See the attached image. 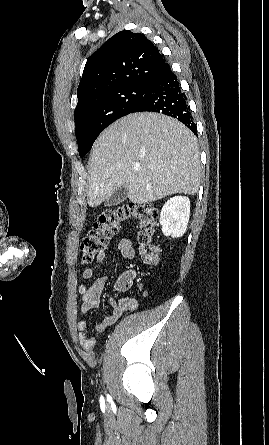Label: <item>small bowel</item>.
<instances>
[{
    "mask_svg": "<svg viewBox=\"0 0 269 445\" xmlns=\"http://www.w3.org/2000/svg\"><path fill=\"white\" fill-rule=\"evenodd\" d=\"M115 248L119 251L121 256L129 261L135 258V251L132 243L128 239H119L114 243ZM106 258V252L102 251L97 256V261L102 262ZM133 272L129 271L123 274L117 283L124 279L132 281ZM82 278L85 280H92L90 284H81L78 287V292L81 295V312L87 314L91 309L98 307L102 293L104 291L107 278L105 275L94 278V270L92 268H85L82 271ZM109 306L111 312L101 322L95 326L97 333L105 332L110 326L114 325L120 318L130 312H133L138 307V301L135 298L126 297L121 300L110 298ZM79 331V342L81 346L91 351L96 345V336L90 332L89 325L86 321H79L77 323Z\"/></svg>",
    "mask_w": 269,
    "mask_h": 445,
    "instance_id": "c3829d8e",
    "label": "small bowel"
}]
</instances>
